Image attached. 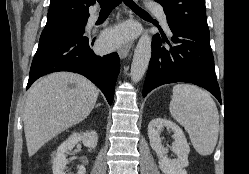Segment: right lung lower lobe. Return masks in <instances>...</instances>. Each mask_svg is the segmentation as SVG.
<instances>
[{
    "mask_svg": "<svg viewBox=\"0 0 249 174\" xmlns=\"http://www.w3.org/2000/svg\"><path fill=\"white\" fill-rule=\"evenodd\" d=\"M93 41L83 33H72L39 45L33 58L27 89L39 77L57 71L84 75L113 102L114 88L119 72L117 53L98 56L91 49Z\"/></svg>",
    "mask_w": 249,
    "mask_h": 174,
    "instance_id": "1",
    "label": "right lung lower lobe"
}]
</instances>
